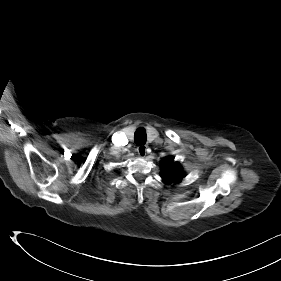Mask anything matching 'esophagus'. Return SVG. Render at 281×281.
<instances>
[{
	"label": "esophagus",
	"instance_id": "1",
	"mask_svg": "<svg viewBox=\"0 0 281 281\" xmlns=\"http://www.w3.org/2000/svg\"><path fill=\"white\" fill-rule=\"evenodd\" d=\"M137 152L139 156L144 157L147 152V146L146 145H140L137 147Z\"/></svg>",
	"mask_w": 281,
	"mask_h": 281
}]
</instances>
